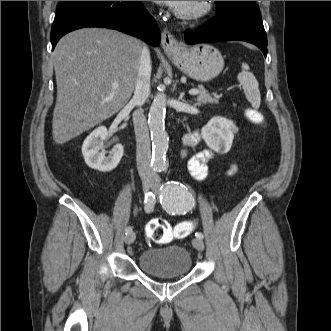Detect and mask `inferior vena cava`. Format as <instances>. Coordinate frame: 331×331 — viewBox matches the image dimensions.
I'll return each instance as SVG.
<instances>
[{
  "label": "inferior vena cava",
  "instance_id": "602c4592",
  "mask_svg": "<svg viewBox=\"0 0 331 331\" xmlns=\"http://www.w3.org/2000/svg\"><path fill=\"white\" fill-rule=\"evenodd\" d=\"M151 61L149 49L144 46L140 57V66L131 103L138 109L133 113L136 135L137 169L141 176H154L151 167V144L146 118L140 107L150 94Z\"/></svg>",
  "mask_w": 331,
  "mask_h": 331
}]
</instances>
